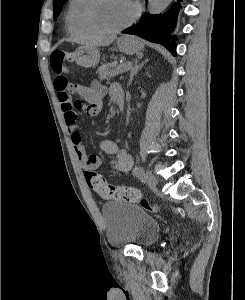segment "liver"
<instances>
[{"mask_svg":"<svg viewBox=\"0 0 245 300\" xmlns=\"http://www.w3.org/2000/svg\"><path fill=\"white\" fill-rule=\"evenodd\" d=\"M115 40V37H88L81 43L84 47L108 46Z\"/></svg>","mask_w":245,"mask_h":300,"instance_id":"6515ba94","label":"liver"}]
</instances>
